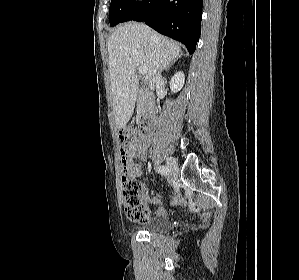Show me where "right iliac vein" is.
Returning <instances> with one entry per match:
<instances>
[{
  "mask_svg": "<svg viewBox=\"0 0 299 280\" xmlns=\"http://www.w3.org/2000/svg\"><path fill=\"white\" fill-rule=\"evenodd\" d=\"M167 166L173 174V177L176 178L178 173V164L176 160L172 157L167 158Z\"/></svg>",
  "mask_w": 299,
  "mask_h": 280,
  "instance_id": "63e3f726",
  "label": "right iliac vein"
}]
</instances>
